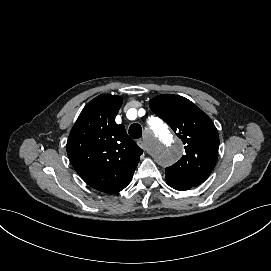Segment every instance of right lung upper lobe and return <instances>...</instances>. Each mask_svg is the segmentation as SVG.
Wrapping results in <instances>:
<instances>
[{"label": "right lung upper lobe", "instance_id": "cb5924a9", "mask_svg": "<svg viewBox=\"0 0 271 271\" xmlns=\"http://www.w3.org/2000/svg\"><path fill=\"white\" fill-rule=\"evenodd\" d=\"M122 98L102 94L80 113L68 141L67 154L79 176L91 187L114 194L131 181L143 150L115 117Z\"/></svg>", "mask_w": 271, "mask_h": 271}]
</instances>
